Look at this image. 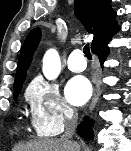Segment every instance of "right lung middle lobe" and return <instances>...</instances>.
I'll list each match as a JSON object with an SVG mask.
<instances>
[{
	"instance_id": "obj_1",
	"label": "right lung middle lobe",
	"mask_w": 131,
	"mask_h": 151,
	"mask_svg": "<svg viewBox=\"0 0 131 151\" xmlns=\"http://www.w3.org/2000/svg\"><path fill=\"white\" fill-rule=\"evenodd\" d=\"M21 88H22V87H20V88L14 90V100L17 99V97H18V95H19V93H20V91H21Z\"/></svg>"
}]
</instances>
